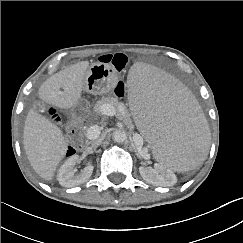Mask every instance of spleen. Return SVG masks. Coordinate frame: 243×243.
Here are the masks:
<instances>
[{
	"label": "spleen",
	"mask_w": 243,
	"mask_h": 243,
	"mask_svg": "<svg viewBox=\"0 0 243 243\" xmlns=\"http://www.w3.org/2000/svg\"><path fill=\"white\" fill-rule=\"evenodd\" d=\"M136 125L157 160L172 171H191L206 152L210 132L197 99L174 76L150 64L128 77Z\"/></svg>",
	"instance_id": "3e777b00"
}]
</instances>
